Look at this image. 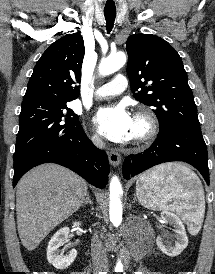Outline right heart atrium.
<instances>
[{"instance_id":"d8ad5b80","label":"right heart atrium","mask_w":215,"mask_h":274,"mask_svg":"<svg viewBox=\"0 0 215 274\" xmlns=\"http://www.w3.org/2000/svg\"><path fill=\"white\" fill-rule=\"evenodd\" d=\"M91 141L96 147L101 148L104 146V140L99 132H94L91 135Z\"/></svg>"}]
</instances>
